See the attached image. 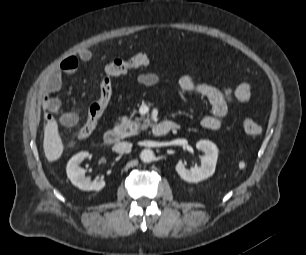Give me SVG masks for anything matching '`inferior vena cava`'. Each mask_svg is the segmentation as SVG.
<instances>
[{
    "mask_svg": "<svg viewBox=\"0 0 306 255\" xmlns=\"http://www.w3.org/2000/svg\"><path fill=\"white\" fill-rule=\"evenodd\" d=\"M132 148V144L129 142H119L114 145L113 150L117 153H125Z\"/></svg>",
    "mask_w": 306,
    "mask_h": 255,
    "instance_id": "obj_1",
    "label": "inferior vena cava"
}]
</instances>
